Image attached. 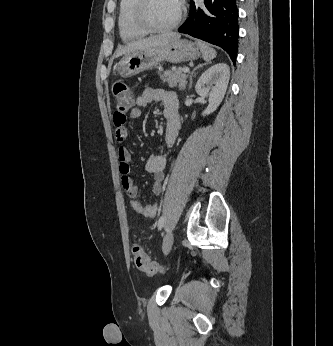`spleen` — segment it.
Listing matches in <instances>:
<instances>
[{"mask_svg": "<svg viewBox=\"0 0 333 346\" xmlns=\"http://www.w3.org/2000/svg\"><path fill=\"white\" fill-rule=\"evenodd\" d=\"M196 44L200 48V51L202 53V57L205 61H210L216 57V51L212 47H210L209 45H207L201 41H197Z\"/></svg>", "mask_w": 333, "mask_h": 346, "instance_id": "spleen-1", "label": "spleen"}]
</instances>
